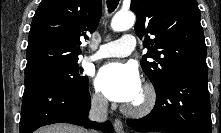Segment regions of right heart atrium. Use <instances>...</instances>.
<instances>
[{
    "label": "right heart atrium",
    "instance_id": "right-heart-atrium-1",
    "mask_svg": "<svg viewBox=\"0 0 221 133\" xmlns=\"http://www.w3.org/2000/svg\"><path fill=\"white\" fill-rule=\"evenodd\" d=\"M91 104L96 110H104L107 106L105 97L98 91H93L91 94Z\"/></svg>",
    "mask_w": 221,
    "mask_h": 133
}]
</instances>
